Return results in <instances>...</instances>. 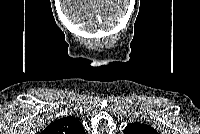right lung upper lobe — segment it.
<instances>
[{"label": "right lung upper lobe", "instance_id": "1", "mask_svg": "<svg viewBox=\"0 0 200 134\" xmlns=\"http://www.w3.org/2000/svg\"><path fill=\"white\" fill-rule=\"evenodd\" d=\"M45 134H83V125L74 117H65L52 122Z\"/></svg>", "mask_w": 200, "mask_h": 134}]
</instances>
